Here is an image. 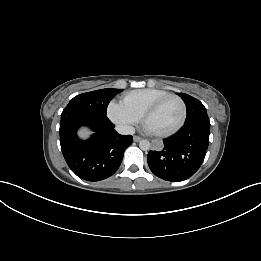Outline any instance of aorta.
<instances>
[{
	"label": "aorta",
	"mask_w": 261,
	"mask_h": 261,
	"mask_svg": "<svg viewBox=\"0 0 261 261\" xmlns=\"http://www.w3.org/2000/svg\"><path fill=\"white\" fill-rule=\"evenodd\" d=\"M139 147L143 151H147V150H149L151 148V144L147 140H141L140 143H139Z\"/></svg>",
	"instance_id": "762f6f07"
}]
</instances>
